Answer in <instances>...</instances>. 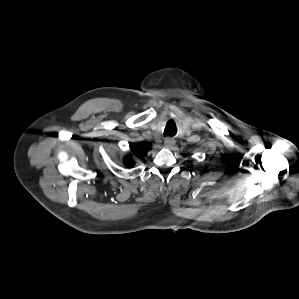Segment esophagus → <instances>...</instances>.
Here are the masks:
<instances>
[{
	"mask_svg": "<svg viewBox=\"0 0 299 299\" xmlns=\"http://www.w3.org/2000/svg\"><path fill=\"white\" fill-rule=\"evenodd\" d=\"M164 145L167 147V148H171L175 145V140L171 137H167L165 140H164Z\"/></svg>",
	"mask_w": 299,
	"mask_h": 299,
	"instance_id": "1",
	"label": "esophagus"
}]
</instances>
